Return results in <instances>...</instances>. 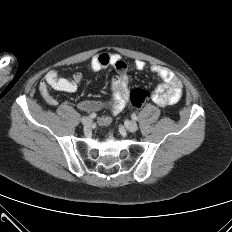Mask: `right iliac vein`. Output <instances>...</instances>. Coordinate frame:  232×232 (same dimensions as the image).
Wrapping results in <instances>:
<instances>
[{"mask_svg":"<svg viewBox=\"0 0 232 232\" xmlns=\"http://www.w3.org/2000/svg\"><path fill=\"white\" fill-rule=\"evenodd\" d=\"M81 122L85 127H89L92 123V120L89 117L81 118Z\"/></svg>","mask_w":232,"mask_h":232,"instance_id":"right-iliac-vein-1","label":"right iliac vein"}]
</instances>
